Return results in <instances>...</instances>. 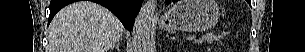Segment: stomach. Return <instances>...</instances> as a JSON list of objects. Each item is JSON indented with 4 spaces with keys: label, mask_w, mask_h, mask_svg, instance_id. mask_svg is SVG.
<instances>
[{
    "label": "stomach",
    "mask_w": 305,
    "mask_h": 52,
    "mask_svg": "<svg viewBox=\"0 0 305 52\" xmlns=\"http://www.w3.org/2000/svg\"><path fill=\"white\" fill-rule=\"evenodd\" d=\"M219 15L214 0H180L160 18L158 24L166 31H205L217 23Z\"/></svg>",
    "instance_id": "stomach-1"
}]
</instances>
